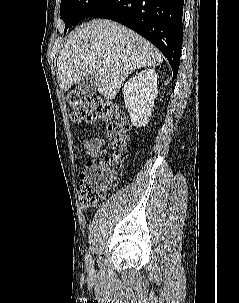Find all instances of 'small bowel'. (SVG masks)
I'll use <instances>...</instances> for the list:
<instances>
[{
    "mask_svg": "<svg viewBox=\"0 0 239 303\" xmlns=\"http://www.w3.org/2000/svg\"><path fill=\"white\" fill-rule=\"evenodd\" d=\"M80 142L83 145L84 152L91 157H99L105 154L106 152L103 148V141L99 138H80Z\"/></svg>",
    "mask_w": 239,
    "mask_h": 303,
    "instance_id": "1",
    "label": "small bowel"
}]
</instances>
